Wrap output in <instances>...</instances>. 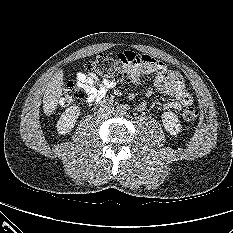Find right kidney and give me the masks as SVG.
<instances>
[{
    "mask_svg": "<svg viewBox=\"0 0 233 233\" xmlns=\"http://www.w3.org/2000/svg\"><path fill=\"white\" fill-rule=\"evenodd\" d=\"M80 115L79 106H71L67 108L57 123V131L59 134H66L72 130L74 127L78 116Z\"/></svg>",
    "mask_w": 233,
    "mask_h": 233,
    "instance_id": "obj_1",
    "label": "right kidney"
}]
</instances>
